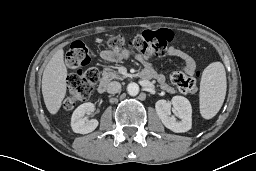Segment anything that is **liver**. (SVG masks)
Returning a JSON list of instances; mask_svg holds the SVG:
<instances>
[{"instance_id":"6515ba94","label":"liver","mask_w":256,"mask_h":171,"mask_svg":"<svg viewBox=\"0 0 256 171\" xmlns=\"http://www.w3.org/2000/svg\"><path fill=\"white\" fill-rule=\"evenodd\" d=\"M67 68L64 51L58 49L47 63L42 76V94L47 110L56 114L66 95Z\"/></svg>"}]
</instances>
